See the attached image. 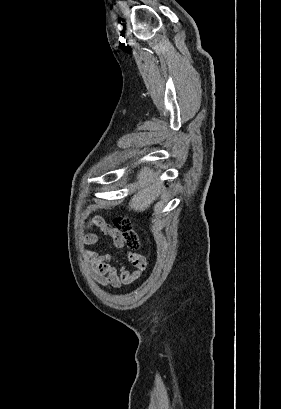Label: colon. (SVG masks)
<instances>
[{
    "instance_id": "5ec220e1",
    "label": "colon",
    "mask_w": 281,
    "mask_h": 409,
    "mask_svg": "<svg viewBox=\"0 0 281 409\" xmlns=\"http://www.w3.org/2000/svg\"><path fill=\"white\" fill-rule=\"evenodd\" d=\"M115 227L120 232V240L126 249H138L139 238L138 235L130 230L128 222L123 218L115 220Z\"/></svg>"
}]
</instances>
